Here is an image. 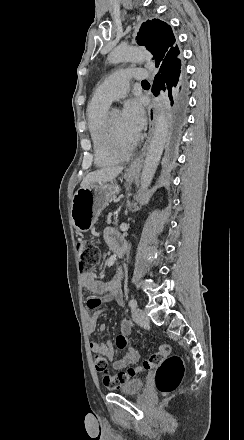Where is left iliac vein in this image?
Returning a JSON list of instances; mask_svg holds the SVG:
<instances>
[{"label":"left iliac vein","instance_id":"left-iliac-vein-1","mask_svg":"<svg viewBox=\"0 0 244 440\" xmlns=\"http://www.w3.org/2000/svg\"><path fill=\"white\" fill-rule=\"evenodd\" d=\"M133 320L139 325H145L149 322V318L146 315V311L140 308H136L132 312Z\"/></svg>","mask_w":244,"mask_h":440}]
</instances>
